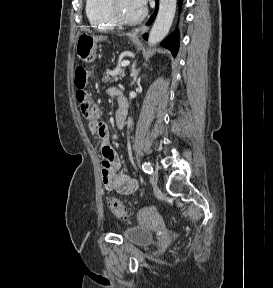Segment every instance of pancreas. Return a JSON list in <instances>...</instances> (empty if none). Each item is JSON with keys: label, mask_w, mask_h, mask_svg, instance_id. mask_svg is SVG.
Listing matches in <instances>:
<instances>
[{"label": "pancreas", "mask_w": 273, "mask_h": 288, "mask_svg": "<svg viewBox=\"0 0 273 288\" xmlns=\"http://www.w3.org/2000/svg\"><path fill=\"white\" fill-rule=\"evenodd\" d=\"M125 76V68H121L120 66L116 67L114 70H107L105 73V76L103 77V82H117L118 80H121L122 77Z\"/></svg>", "instance_id": "obj_1"}]
</instances>
